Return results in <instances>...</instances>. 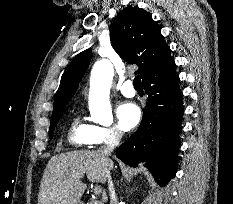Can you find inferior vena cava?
<instances>
[{
    "label": "inferior vena cava",
    "mask_w": 233,
    "mask_h": 204,
    "mask_svg": "<svg viewBox=\"0 0 233 204\" xmlns=\"http://www.w3.org/2000/svg\"><path fill=\"white\" fill-rule=\"evenodd\" d=\"M122 138V134L119 131H116L106 142L105 145H103L99 152L102 154V156L109 158V155L113 151V149L119 144L120 140ZM110 159V158H109ZM107 180H108V186H109V192H110V198H111V204H117L116 203V196H115V188L112 181L111 173L110 171H107Z\"/></svg>",
    "instance_id": "602c4592"
}]
</instances>
